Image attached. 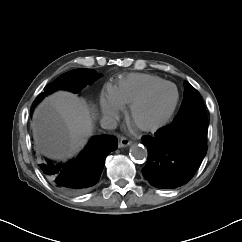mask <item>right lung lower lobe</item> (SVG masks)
Masks as SVG:
<instances>
[{
	"instance_id": "1",
	"label": "right lung lower lobe",
	"mask_w": 242,
	"mask_h": 242,
	"mask_svg": "<svg viewBox=\"0 0 242 242\" xmlns=\"http://www.w3.org/2000/svg\"><path fill=\"white\" fill-rule=\"evenodd\" d=\"M35 106L32 105L31 112ZM118 147L110 135L95 136L85 148L67 163H53L49 159L39 164L42 172L56 188L69 194L89 190L99 180L106 156Z\"/></svg>"
}]
</instances>
